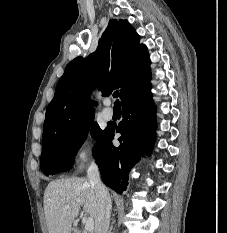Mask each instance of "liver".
I'll use <instances>...</instances> for the list:
<instances>
[{
	"instance_id": "6515ba94",
	"label": "liver",
	"mask_w": 227,
	"mask_h": 233,
	"mask_svg": "<svg viewBox=\"0 0 227 233\" xmlns=\"http://www.w3.org/2000/svg\"><path fill=\"white\" fill-rule=\"evenodd\" d=\"M66 205H69L67 209ZM81 206L85 213L96 219L98 198L89 179L65 178L51 181L44 192V213L48 232L70 233Z\"/></svg>"
}]
</instances>
